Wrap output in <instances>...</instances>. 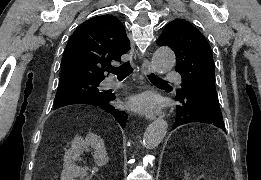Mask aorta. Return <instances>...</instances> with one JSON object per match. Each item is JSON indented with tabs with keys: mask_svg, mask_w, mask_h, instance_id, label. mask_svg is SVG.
Returning <instances> with one entry per match:
<instances>
[{
	"mask_svg": "<svg viewBox=\"0 0 261 180\" xmlns=\"http://www.w3.org/2000/svg\"><path fill=\"white\" fill-rule=\"evenodd\" d=\"M176 62L174 52L168 47H159L152 57L153 69L158 73L170 71ZM168 129L167 121L160 119L151 123L144 133L143 145L147 149L156 148L164 139Z\"/></svg>",
	"mask_w": 261,
	"mask_h": 180,
	"instance_id": "762f6f07",
	"label": "aorta"
}]
</instances>
